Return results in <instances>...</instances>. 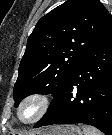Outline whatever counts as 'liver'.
<instances>
[{
	"instance_id": "obj_1",
	"label": "liver",
	"mask_w": 112,
	"mask_h": 135,
	"mask_svg": "<svg viewBox=\"0 0 112 135\" xmlns=\"http://www.w3.org/2000/svg\"><path fill=\"white\" fill-rule=\"evenodd\" d=\"M40 134H43V132H44V130H42V131H38Z\"/></svg>"
}]
</instances>
